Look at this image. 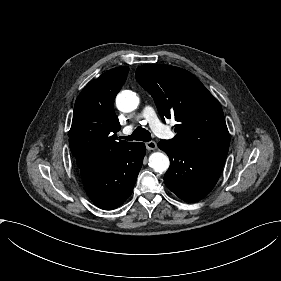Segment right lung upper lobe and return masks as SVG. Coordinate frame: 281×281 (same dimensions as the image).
<instances>
[{
    "label": "right lung upper lobe",
    "instance_id": "obj_1",
    "mask_svg": "<svg viewBox=\"0 0 281 281\" xmlns=\"http://www.w3.org/2000/svg\"><path fill=\"white\" fill-rule=\"evenodd\" d=\"M127 66L111 69L90 81L75 102L69 145L81 175L114 162L132 143L116 142L121 126L114 99L126 81Z\"/></svg>",
    "mask_w": 281,
    "mask_h": 281
}]
</instances>
